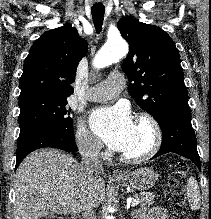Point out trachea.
<instances>
[{
  "label": "trachea",
  "mask_w": 211,
  "mask_h": 219,
  "mask_svg": "<svg viewBox=\"0 0 211 219\" xmlns=\"http://www.w3.org/2000/svg\"><path fill=\"white\" fill-rule=\"evenodd\" d=\"M92 19L96 29V32L99 34L102 30L105 7L102 4L93 5L91 8Z\"/></svg>",
  "instance_id": "obj_1"
}]
</instances>
